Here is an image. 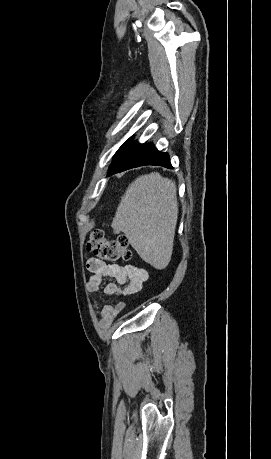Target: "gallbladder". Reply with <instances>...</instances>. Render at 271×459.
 <instances>
[{"mask_svg":"<svg viewBox=\"0 0 271 459\" xmlns=\"http://www.w3.org/2000/svg\"><path fill=\"white\" fill-rule=\"evenodd\" d=\"M114 233H120L121 229L113 228Z\"/></svg>","mask_w":271,"mask_h":459,"instance_id":"bac80fb5","label":"gallbladder"}]
</instances>
